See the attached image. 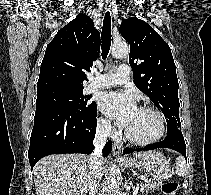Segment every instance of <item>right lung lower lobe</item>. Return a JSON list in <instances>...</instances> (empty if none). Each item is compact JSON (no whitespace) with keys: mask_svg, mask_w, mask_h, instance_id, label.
<instances>
[{"mask_svg":"<svg viewBox=\"0 0 211 195\" xmlns=\"http://www.w3.org/2000/svg\"><path fill=\"white\" fill-rule=\"evenodd\" d=\"M96 114V104L84 112L58 108L36 110L28 152L31 168L51 154L92 153ZM111 146L109 140L103 149L104 157L111 152Z\"/></svg>","mask_w":211,"mask_h":195,"instance_id":"obj_1","label":"right lung lower lobe"}]
</instances>
